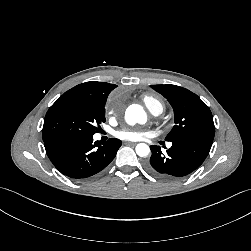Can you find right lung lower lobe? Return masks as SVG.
Here are the masks:
<instances>
[{"label": "right lung lower lobe", "instance_id": "98d812e1", "mask_svg": "<svg viewBox=\"0 0 251 251\" xmlns=\"http://www.w3.org/2000/svg\"><path fill=\"white\" fill-rule=\"evenodd\" d=\"M46 153L54 166L73 179H85L103 170L116 156L121 141H93V136L55 138L44 141Z\"/></svg>", "mask_w": 251, "mask_h": 251}]
</instances>
